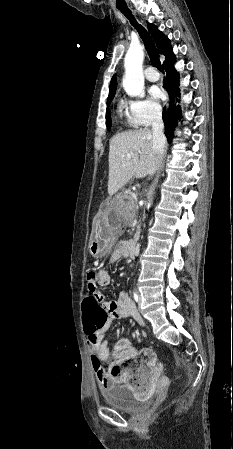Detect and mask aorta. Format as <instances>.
<instances>
[{"mask_svg": "<svg viewBox=\"0 0 233 449\" xmlns=\"http://www.w3.org/2000/svg\"><path fill=\"white\" fill-rule=\"evenodd\" d=\"M143 47L131 46L125 56L123 87L129 96H144Z\"/></svg>", "mask_w": 233, "mask_h": 449, "instance_id": "aorta-1", "label": "aorta"}]
</instances>
